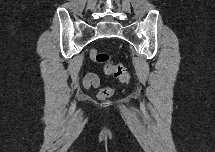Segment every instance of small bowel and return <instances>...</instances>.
<instances>
[{"label":"small bowel","mask_w":215,"mask_h":152,"mask_svg":"<svg viewBox=\"0 0 215 152\" xmlns=\"http://www.w3.org/2000/svg\"><path fill=\"white\" fill-rule=\"evenodd\" d=\"M83 84L86 88L90 87L98 88L100 87L101 82L96 74L88 73L84 78Z\"/></svg>","instance_id":"1"}]
</instances>
